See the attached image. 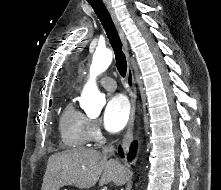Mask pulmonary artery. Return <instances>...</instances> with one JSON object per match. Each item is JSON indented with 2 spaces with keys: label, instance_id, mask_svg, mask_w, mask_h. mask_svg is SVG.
<instances>
[{
  "label": "pulmonary artery",
  "instance_id": "obj_1",
  "mask_svg": "<svg viewBox=\"0 0 221 190\" xmlns=\"http://www.w3.org/2000/svg\"><path fill=\"white\" fill-rule=\"evenodd\" d=\"M101 85L108 91H114L116 89V83L114 79L110 77H104L100 80Z\"/></svg>",
  "mask_w": 221,
  "mask_h": 190
}]
</instances>
